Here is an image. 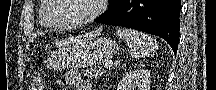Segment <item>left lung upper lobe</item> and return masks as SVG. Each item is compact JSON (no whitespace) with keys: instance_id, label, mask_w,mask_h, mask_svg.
Segmentation results:
<instances>
[{"instance_id":"obj_1","label":"left lung upper lobe","mask_w":216,"mask_h":90,"mask_svg":"<svg viewBox=\"0 0 216 90\" xmlns=\"http://www.w3.org/2000/svg\"><path fill=\"white\" fill-rule=\"evenodd\" d=\"M119 2V0H109V3L111 4V8L115 7L117 5V3Z\"/></svg>"}]
</instances>
